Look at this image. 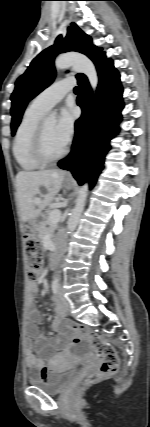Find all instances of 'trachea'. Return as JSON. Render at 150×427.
I'll return each mask as SVG.
<instances>
[{
    "label": "trachea",
    "instance_id": "trachea-1",
    "mask_svg": "<svg viewBox=\"0 0 150 427\" xmlns=\"http://www.w3.org/2000/svg\"><path fill=\"white\" fill-rule=\"evenodd\" d=\"M79 90H80V88H79V87H75V88H74V92H76V93H78V92H79Z\"/></svg>",
    "mask_w": 150,
    "mask_h": 427
}]
</instances>
